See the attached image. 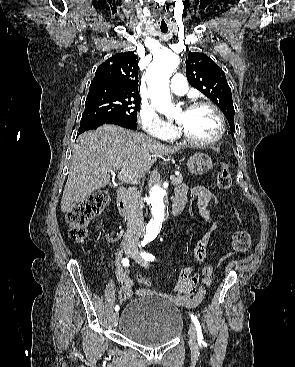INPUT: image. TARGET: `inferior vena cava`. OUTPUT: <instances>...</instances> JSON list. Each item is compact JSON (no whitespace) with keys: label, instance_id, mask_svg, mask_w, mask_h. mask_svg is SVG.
Here are the masks:
<instances>
[{"label":"inferior vena cava","instance_id":"obj_1","mask_svg":"<svg viewBox=\"0 0 295 367\" xmlns=\"http://www.w3.org/2000/svg\"><path fill=\"white\" fill-rule=\"evenodd\" d=\"M127 230L123 238L124 246H136L144 229L143 202L136 187L128 188L127 192Z\"/></svg>","mask_w":295,"mask_h":367}]
</instances>
